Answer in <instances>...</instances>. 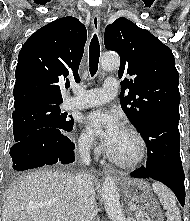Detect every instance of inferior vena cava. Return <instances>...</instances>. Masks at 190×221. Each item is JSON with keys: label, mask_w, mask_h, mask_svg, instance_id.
Returning a JSON list of instances; mask_svg holds the SVG:
<instances>
[{"label": "inferior vena cava", "mask_w": 190, "mask_h": 221, "mask_svg": "<svg viewBox=\"0 0 190 221\" xmlns=\"http://www.w3.org/2000/svg\"><path fill=\"white\" fill-rule=\"evenodd\" d=\"M78 150L83 164L90 163V144L88 140H81ZM75 221H93L97 214L95 190L93 181L87 173L76 176L74 181Z\"/></svg>", "instance_id": "obj_1"}]
</instances>
